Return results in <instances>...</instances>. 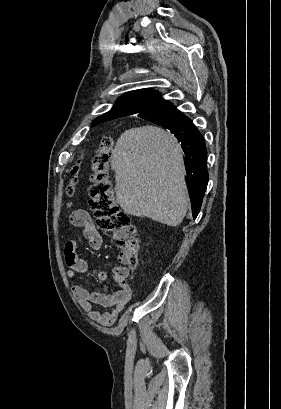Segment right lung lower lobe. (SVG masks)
I'll use <instances>...</instances> for the list:
<instances>
[{"instance_id": "1", "label": "right lung lower lobe", "mask_w": 281, "mask_h": 409, "mask_svg": "<svg viewBox=\"0 0 281 409\" xmlns=\"http://www.w3.org/2000/svg\"><path fill=\"white\" fill-rule=\"evenodd\" d=\"M138 116L147 120L165 116L179 117L177 122L166 128L181 142V147L186 155L184 163L189 184L188 190L192 205V215L195 219L200 211L208 184L207 150L202 135L192 121L173 105L139 113Z\"/></svg>"}]
</instances>
